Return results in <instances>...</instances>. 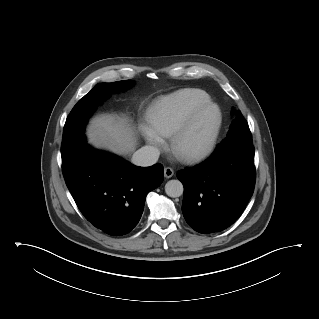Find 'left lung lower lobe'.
I'll list each match as a JSON object with an SVG mask.
<instances>
[{
	"instance_id": "0a47b994",
	"label": "left lung lower lobe",
	"mask_w": 319,
	"mask_h": 319,
	"mask_svg": "<svg viewBox=\"0 0 319 319\" xmlns=\"http://www.w3.org/2000/svg\"><path fill=\"white\" fill-rule=\"evenodd\" d=\"M183 183L182 212L202 234L220 232L242 214L255 186L254 147L250 142L218 145L200 165L179 171Z\"/></svg>"
}]
</instances>
